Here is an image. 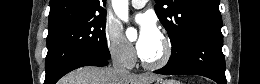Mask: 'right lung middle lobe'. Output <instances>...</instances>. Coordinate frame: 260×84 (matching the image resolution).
Masks as SVG:
<instances>
[{
  "mask_svg": "<svg viewBox=\"0 0 260 84\" xmlns=\"http://www.w3.org/2000/svg\"><path fill=\"white\" fill-rule=\"evenodd\" d=\"M105 26L106 11L49 28L45 79H52L67 63L79 58L110 59Z\"/></svg>",
  "mask_w": 260,
  "mask_h": 84,
  "instance_id": "1",
  "label": "right lung middle lobe"
}]
</instances>
